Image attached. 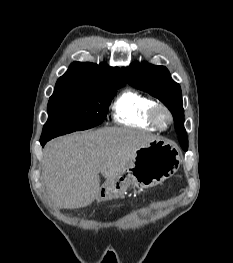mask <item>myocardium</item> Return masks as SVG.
<instances>
[{"mask_svg": "<svg viewBox=\"0 0 233 263\" xmlns=\"http://www.w3.org/2000/svg\"><path fill=\"white\" fill-rule=\"evenodd\" d=\"M160 113H165L168 118V122L165 125L160 122ZM149 120L158 130L165 131L173 124V115L165 104L155 103L149 111Z\"/></svg>", "mask_w": 233, "mask_h": 263, "instance_id": "myocardium-1", "label": "myocardium"}]
</instances>
